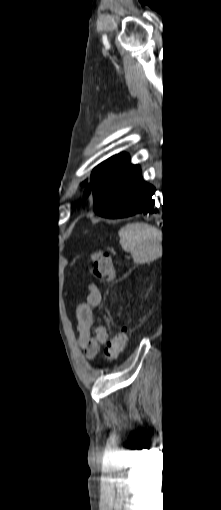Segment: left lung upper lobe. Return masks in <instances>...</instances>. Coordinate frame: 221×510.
Returning a JSON list of instances; mask_svg holds the SVG:
<instances>
[{
  "label": "left lung upper lobe",
  "mask_w": 221,
  "mask_h": 510,
  "mask_svg": "<svg viewBox=\"0 0 221 510\" xmlns=\"http://www.w3.org/2000/svg\"><path fill=\"white\" fill-rule=\"evenodd\" d=\"M141 174L140 167L132 165L128 154L120 153L99 164L91 173V182L86 186L84 196L90 195L94 210L105 207L129 183Z\"/></svg>",
  "instance_id": "obj_1"
}]
</instances>
